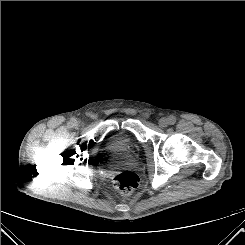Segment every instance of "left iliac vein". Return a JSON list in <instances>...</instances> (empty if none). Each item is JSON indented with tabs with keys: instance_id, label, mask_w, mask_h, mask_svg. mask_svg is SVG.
<instances>
[{
	"instance_id": "1",
	"label": "left iliac vein",
	"mask_w": 245,
	"mask_h": 245,
	"mask_svg": "<svg viewBox=\"0 0 245 245\" xmlns=\"http://www.w3.org/2000/svg\"><path fill=\"white\" fill-rule=\"evenodd\" d=\"M169 124V121L167 118L163 117L159 120V126L162 127V128H165L167 127Z\"/></svg>"
}]
</instances>
